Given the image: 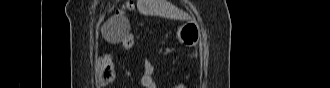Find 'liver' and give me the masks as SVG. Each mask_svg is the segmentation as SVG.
Segmentation results:
<instances>
[{"label": "liver", "mask_w": 330, "mask_h": 88, "mask_svg": "<svg viewBox=\"0 0 330 88\" xmlns=\"http://www.w3.org/2000/svg\"><path fill=\"white\" fill-rule=\"evenodd\" d=\"M137 8L144 15H160L170 18L180 17V14L174 11L166 0H137Z\"/></svg>", "instance_id": "liver-1"}]
</instances>
